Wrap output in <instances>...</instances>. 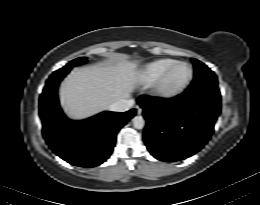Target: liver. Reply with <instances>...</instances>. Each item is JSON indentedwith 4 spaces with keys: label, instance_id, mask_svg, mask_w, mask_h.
I'll return each mask as SVG.
<instances>
[{
    "label": "liver",
    "instance_id": "6515ba94",
    "mask_svg": "<svg viewBox=\"0 0 260 205\" xmlns=\"http://www.w3.org/2000/svg\"><path fill=\"white\" fill-rule=\"evenodd\" d=\"M137 68L138 62L119 58L73 70L59 90L64 112L71 119L81 120L129 98L141 82Z\"/></svg>",
    "mask_w": 260,
    "mask_h": 205
}]
</instances>
